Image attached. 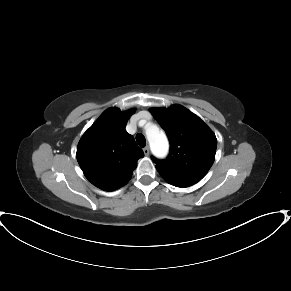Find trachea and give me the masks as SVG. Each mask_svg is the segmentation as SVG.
Instances as JSON below:
<instances>
[{"label": "trachea", "instance_id": "3493384b", "mask_svg": "<svg viewBox=\"0 0 291 291\" xmlns=\"http://www.w3.org/2000/svg\"><path fill=\"white\" fill-rule=\"evenodd\" d=\"M136 141L139 144L140 147H145L146 146V139L143 134L139 133L136 135Z\"/></svg>", "mask_w": 291, "mask_h": 291}]
</instances>
